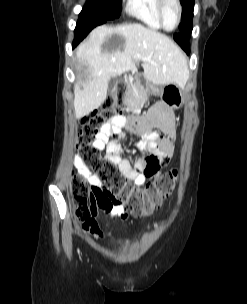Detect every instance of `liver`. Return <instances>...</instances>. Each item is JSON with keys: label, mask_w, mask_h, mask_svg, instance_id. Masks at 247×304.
I'll use <instances>...</instances> for the list:
<instances>
[{"label": "liver", "mask_w": 247, "mask_h": 304, "mask_svg": "<svg viewBox=\"0 0 247 304\" xmlns=\"http://www.w3.org/2000/svg\"><path fill=\"white\" fill-rule=\"evenodd\" d=\"M112 39L118 44L111 45ZM75 57L85 67L83 79L74 88L77 119L105 101L111 77L134 72L140 61L144 78L155 85L174 83L181 88L189 78L187 59L179 47L166 35L138 23L93 29L77 47Z\"/></svg>", "instance_id": "liver-1"}]
</instances>
